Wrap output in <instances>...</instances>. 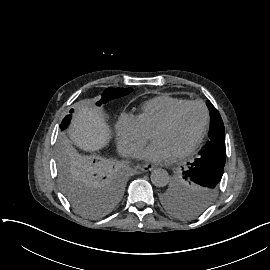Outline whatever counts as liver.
<instances>
[{
    "label": "liver",
    "instance_id": "6515ba94",
    "mask_svg": "<svg viewBox=\"0 0 270 270\" xmlns=\"http://www.w3.org/2000/svg\"><path fill=\"white\" fill-rule=\"evenodd\" d=\"M70 137L85 150H97L110 140L103 117L88 108L78 109Z\"/></svg>",
    "mask_w": 270,
    "mask_h": 270
}]
</instances>
